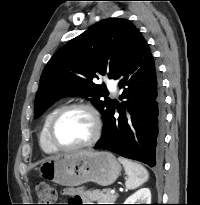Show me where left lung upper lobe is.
<instances>
[{"mask_svg": "<svg viewBox=\"0 0 200 205\" xmlns=\"http://www.w3.org/2000/svg\"><path fill=\"white\" fill-rule=\"evenodd\" d=\"M138 30L123 18H108L93 25L59 49L49 60L40 78L35 97V117L65 95L91 97L92 103L108 116L113 100L105 95V85L92 80L115 72L129 51ZM105 98L104 100L101 98Z\"/></svg>", "mask_w": 200, "mask_h": 205, "instance_id": "obj_1", "label": "left lung upper lobe"}]
</instances>
